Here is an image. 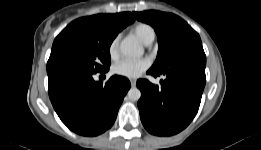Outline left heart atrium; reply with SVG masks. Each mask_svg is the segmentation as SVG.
I'll return each instance as SVG.
<instances>
[{"label":"left heart atrium","mask_w":261,"mask_h":150,"mask_svg":"<svg viewBox=\"0 0 261 150\" xmlns=\"http://www.w3.org/2000/svg\"><path fill=\"white\" fill-rule=\"evenodd\" d=\"M150 67L148 59L129 60L125 59L116 63L113 67L115 74L127 78H138L143 72Z\"/></svg>","instance_id":"1"}]
</instances>
